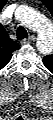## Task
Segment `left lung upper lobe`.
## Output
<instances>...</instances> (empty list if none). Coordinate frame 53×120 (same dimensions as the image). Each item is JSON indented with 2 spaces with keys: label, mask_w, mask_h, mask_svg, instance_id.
I'll return each mask as SVG.
<instances>
[{
  "label": "left lung upper lobe",
  "mask_w": 53,
  "mask_h": 120,
  "mask_svg": "<svg viewBox=\"0 0 53 120\" xmlns=\"http://www.w3.org/2000/svg\"><path fill=\"white\" fill-rule=\"evenodd\" d=\"M45 5H48L49 2L45 1V0H41ZM44 65L49 68L52 65V59L51 56H45L43 59Z\"/></svg>",
  "instance_id": "5c2ea615"
}]
</instances>
